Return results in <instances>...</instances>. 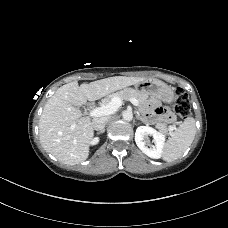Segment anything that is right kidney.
Returning <instances> with one entry per match:
<instances>
[{
    "label": "right kidney",
    "mask_w": 228,
    "mask_h": 228,
    "mask_svg": "<svg viewBox=\"0 0 228 228\" xmlns=\"http://www.w3.org/2000/svg\"><path fill=\"white\" fill-rule=\"evenodd\" d=\"M98 142H99V138H94V139L91 141V144H92V145H96V144H98Z\"/></svg>",
    "instance_id": "1"
}]
</instances>
